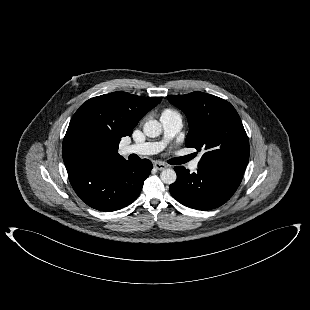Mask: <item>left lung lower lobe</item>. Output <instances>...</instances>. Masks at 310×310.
<instances>
[{
  "label": "left lung lower lobe",
  "mask_w": 310,
  "mask_h": 310,
  "mask_svg": "<svg viewBox=\"0 0 310 310\" xmlns=\"http://www.w3.org/2000/svg\"><path fill=\"white\" fill-rule=\"evenodd\" d=\"M174 170L177 180L169 187L171 195L181 204L197 210L223 205L242 181V175L217 168L198 167L197 173L192 174L183 166Z\"/></svg>",
  "instance_id": "1"
}]
</instances>
